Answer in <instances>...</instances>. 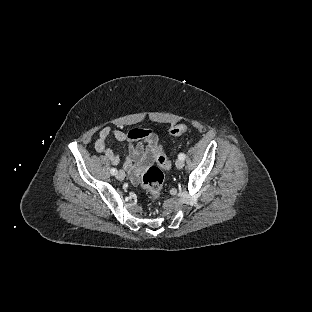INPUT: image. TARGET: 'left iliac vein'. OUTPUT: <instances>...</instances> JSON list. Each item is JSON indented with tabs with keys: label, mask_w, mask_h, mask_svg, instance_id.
Wrapping results in <instances>:
<instances>
[{
	"label": "left iliac vein",
	"mask_w": 312,
	"mask_h": 312,
	"mask_svg": "<svg viewBox=\"0 0 312 312\" xmlns=\"http://www.w3.org/2000/svg\"><path fill=\"white\" fill-rule=\"evenodd\" d=\"M184 165H185V163H184V161H183L182 159H178V160L176 161V167H177L178 169H182V168L184 167Z\"/></svg>",
	"instance_id": "left-iliac-vein-1"
}]
</instances>
